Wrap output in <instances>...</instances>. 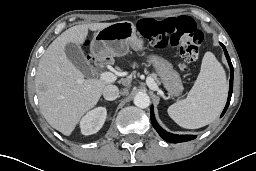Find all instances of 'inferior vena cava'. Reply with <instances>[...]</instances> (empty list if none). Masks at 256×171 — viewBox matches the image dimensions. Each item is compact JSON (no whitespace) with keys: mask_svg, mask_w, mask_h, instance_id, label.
<instances>
[{"mask_svg":"<svg viewBox=\"0 0 256 171\" xmlns=\"http://www.w3.org/2000/svg\"><path fill=\"white\" fill-rule=\"evenodd\" d=\"M119 96V89L115 85H107L103 90V97L106 100L112 101L118 98Z\"/></svg>","mask_w":256,"mask_h":171,"instance_id":"1","label":"inferior vena cava"}]
</instances>
